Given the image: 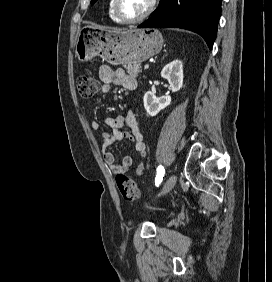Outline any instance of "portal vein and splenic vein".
I'll use <instances>...</instances> for the list:
<instances>
[{
    "mask_svg": "<svg viewBox=\"0 0 272 282\" xmlns=\"http://www.w3.org/2000/svg\"><path fill=\"white\" fill-rule=\"evenodd\" d=\"M144 69H149V65H148V64H145V65H144Z\"/></svg>",
    "mask_w": 272,
    "mask_h": 282,
    "instance_id": "1",
    "label": "portal vein and splenic vein"
}]
</instances>
